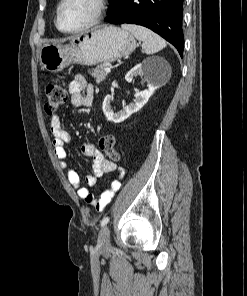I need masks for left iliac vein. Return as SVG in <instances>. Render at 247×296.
<instances>
[{"instance_id":"4c4485c4","label":"left iliac vein","mask_w":247,"mask_h":296,"mask_svg":"<svg viewBox=\"0 0 247 296\" xmlns=\"http://www.w3.org/2000/svg\"><path fill=\"white\" fill-rule=\"evenodd\" d=\"M98 247L101 251H107L110 248V230L104 226L98 235Z\"/></svg>"}]
</instances>
